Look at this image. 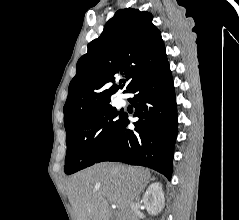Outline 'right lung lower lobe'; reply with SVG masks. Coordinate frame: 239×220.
Masks as SVG:
<instances>
[{"label": "right lung lower lobe", "instance_id": "obj_1", "mask_svg": "<svg viewBox=\"0 0 239 220\" xmlns=\"http://www.w3.org/2000/svg\"><path fill=\"white\" fill-rule=\"evenodd\" d=\"M139 120L127 129L128 115L113 140L97 159L124 162L152 168L169 180L172 174L174 144L177 137V109L174 84L168 61L140 78L128 91Z\"/></svg>", "mask_w": 239, "mask_h": 220}]
</instances>
